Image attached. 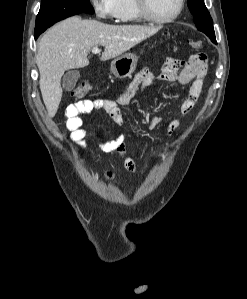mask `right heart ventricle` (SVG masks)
I'll return each instance as SVG.
<instances>
[{
  "label": "right heart ventricle",
  "instance_id": "obj_1",
  "mask_svg": "<svg viewBox=\"0 0 247 299\" xmlns=\"http://www.w3.org/2000/svg\"><path fill=\"white\" fill-rule=\"evenodd\" d=\"M114 17L122 23H137L142 20L135 0H114Z\"/></svg>",
  "mask_w": 247,
  "mask_h": 299
}]
</instances>
